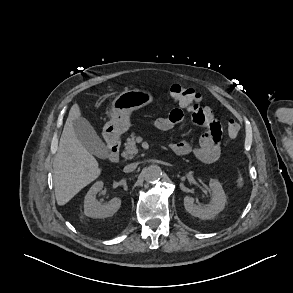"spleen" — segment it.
<instances>
[{
  "mask_svg": "<svg viewBox=\"0 0 293 293\" xmlns=\"http://www.w3.org/2000/svg\"><path fill=\"white\" fill-rule=\"evenodd\" d=\"M237 186L239 188H241L243 186V177L241 176V174L239 175L238 179H237Z\"/></svg>",
  "mask_w": 293,
  "mask_h": 293,
  "instance_id": "spleen-1",
  "label": "spleen"
}]
</instances>
